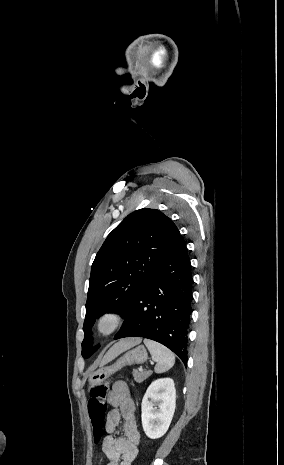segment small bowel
I'll use <instances>...</instances> for the list:
<instances>
[{"instance_id":"obj_1","label":"small bowel","mask_w":284,"mask_h":465,"mask_svg":"<svg viewBox=\"0 0 284 465\" xmlns=\"http://www.w3.org/2000/svg\"><path fill=\"white\" fill-rule=\"evenodd\" d=\"M107 400L112 409L107 415L108 434L103 439L102 449L107 456L108 465H132L138 456L140 442L132 392L124 381H116ZM121 421L123 435L116 436L114 432Z\"/></svg>"}]
</instances>
